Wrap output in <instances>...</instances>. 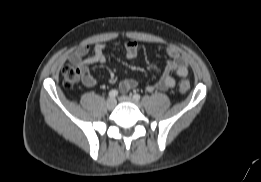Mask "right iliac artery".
<instances>
[{
  "mask_svg": "<svg viewBox=\"0 0 261 182\" xmlns=\"http://www.w3.org/2000/svg\"><path fill=\"white\" fill-rule=\"evenodd\" d=\"M117 96H118V91L116 89H112L111 91H109L110 98H115Z\"/></svg>",
  "mask_w": 261,
  "mask_h": 182,
  "instance_id": "obj_1",
  "label": "right iliac artery"
}]
</instances>
